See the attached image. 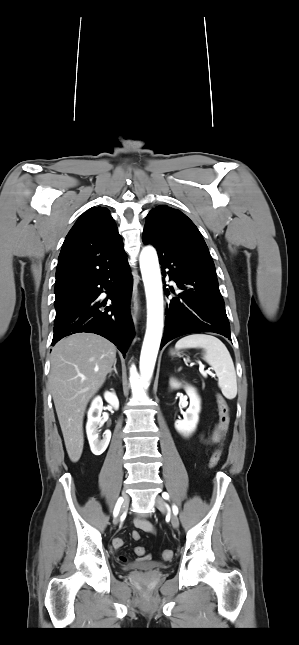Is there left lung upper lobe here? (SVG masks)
I'll return each mask as SVG.
<instances>
[{"label": "left lung upper lobe", "instance_id": "1", "mask_svg": "<svg viewBox=\"0 0 299 645\" xmlns=\"http://www.w3.org/2000/svg\"><path fill=\"white\" fill-rule=\"evenodd\" d=\"M146 218L143 241L148 239L165 241L171 238H182L208 250L197 227L181 211L160 205L152 209Z\"/></svg>", "mask_w": 299, "mask_h": 645}]
</instances>
